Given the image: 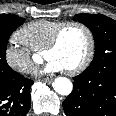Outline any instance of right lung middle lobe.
I'll return each mask as SVG.
<instances>
[{
	"label": "right lung middle lobe",
	"mask_w": 116,
	"mask_h": 116,
	"mask_svg": "<svg viewBox=\"0 0 116 116\" xmlns=\"http://www.w3.org/2000/svg\"><path fill=\"white\" fill-rule=\"evenodd\" d=\"M24 19L13 14H0V81L11 79L16 72L6 62V48L10 35Z\"/></svg>",
	"instance_id": "dd1d6c3e"
}]
</instances>
